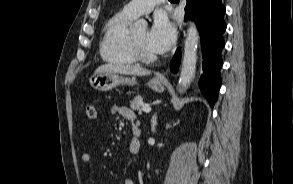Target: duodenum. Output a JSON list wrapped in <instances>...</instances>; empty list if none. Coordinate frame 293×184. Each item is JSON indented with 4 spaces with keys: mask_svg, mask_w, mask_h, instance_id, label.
<instances>
[{
    "mask_svg": "<svg viewBox=\"0 0 293 184\" xmlns=\"http://www.w3.org/2000/svg\"><path fill=\"white\" fill-rule=\"evenodd\" d=\"M135 134L136 136H139V130L138 129H135ZM140 148V141L139 139L136 137L135 138V150L138 151Z\"/></svg>",
    "mask_w": 293,
    "mask_h": 184,
    "instance_id": "obj_1",
    "label": "duodenum"
}]
</instances>
